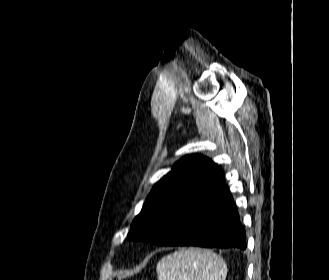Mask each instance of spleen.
I'll return each instance as SVG.
<instances>
[{"mask_svg": "<svg viewBox=\"0 0 329 280\" xmlns=\"http://www.w3.org/2000/svg\"><path fill=\"white\" fill-rule=\"evenodd\" d=\"M156 271L158 280H225L227 265L211 250L190 247L163 257Z\"/></svg>", "mask_w": 329, "mask_h": 280, "instance_id": "obj_1", "label": "spleen"}]
</instances>
